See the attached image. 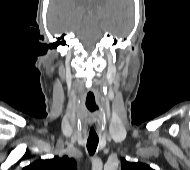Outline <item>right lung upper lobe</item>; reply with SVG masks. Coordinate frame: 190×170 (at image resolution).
<instances>
[{
  "label": "right lung upper lobe",
  "mask_w": 190,
  "mask_h": 170,
  "mask_svg": "<svg viewBox=\"0 0 190 170\" xmlns=\"http://www.w3.org/2000/svg\"><path fill=\"white\" fill-rule=\"evenodd\" d=\"M76 161L64 156L62 158L38 160L23 168V170H76Z\"/></svg>",
  "instance_id": "1"
}]
</instances>
